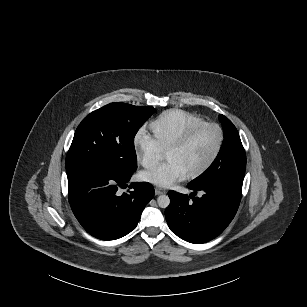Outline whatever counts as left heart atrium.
I'll return each mask as SVG.
<instances>
[{"mask_svg": "<svg viewBox=\"0 0 307 307\" xmlns=\"http://www.w3.org/2000/svg\"><path fill=\"white\" fill-rule=\"evenodd\" d=\"M186 176V172L171 161H166L152 169L146 170L140 175L142 180L162 188L169 187L174 182L184 180Z\"/></svg>", "mask_w": 307, "mask_h": 307, "instance_id": "obj_1", "label": "left heart atrium"}]
</instances>
